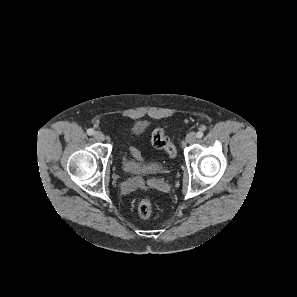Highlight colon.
I'll use <instances>...</instances> for the list:
<instances>
[{
    "mask_svg": "<svg viewBox=\"0 0 297 297\" xmlns=\"http://www.w3.org/2000/svg\"><path fill=\"white\" fill-rule=\"evenodd\" d=\"M152 144L155 148L164 150L170 158H175L177 151L170 139L165 134V128L159 127L152 133ZM132 155L141 160V154L136 148H131ZM153 211L152 202L149 198H143L138 205V214L141 218L147 219Z\"/></svg>",
    "mask_w": 297,
    "mask_h": 297,
    "instance_id": "1",
    "label": "colon"
}]
</instances>
